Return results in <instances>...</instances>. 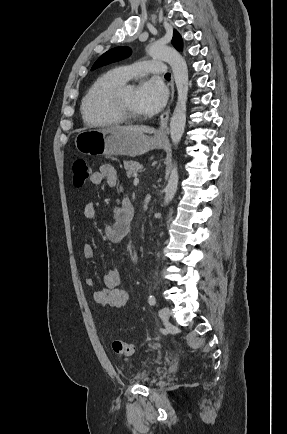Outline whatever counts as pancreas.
<instances>
[{
  "instance_id": "cf45deb5",
  "label": "pancreas",
  "mask_w": 287,
  "mask_h": 434,
  "mask_svg": "<svg viewBox=\"0 0 287 434\" xmlns=\"http://www.w3.org/2000/svg\"><path fill=\"white\" fill-rule=\"evenodd\" d=\"M142 165L136 161H124L127 177L135 176L142 169Z\"/></svg>"
}]
</instances>
